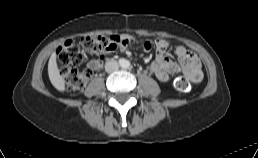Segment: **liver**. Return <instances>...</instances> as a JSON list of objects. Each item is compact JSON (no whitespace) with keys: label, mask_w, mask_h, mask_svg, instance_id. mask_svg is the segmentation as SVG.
<instances>
[{"label":"liver","mask_w":258,"mask_h":158,"mask_svg":"<svg viewBox=\"0 0 258 158\" xmlns=\"http://www.w3.org/2000/svg\"><path fill=\"white\" fill-rule=\"evenodd\" d=\"M56 53L53 52L49 62H48V75L50 82L52 85L58 90V91H64L65 90V81L60 75L57 62H56Z\"/></svg>","instance_id":"1"}]
</instances>
